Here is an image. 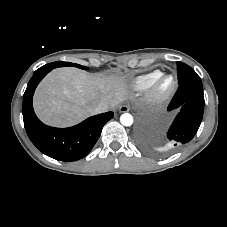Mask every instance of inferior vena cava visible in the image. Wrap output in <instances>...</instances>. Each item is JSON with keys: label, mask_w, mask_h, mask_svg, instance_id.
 <instances>
[{"label": "inferior vena cava", "mask_w": 227, "mask_h": 227, "mask_svg": "<svg viewBox=\"0 0 227 227\" xmlns=\"http://www.w3.org/2000/svg\"><path fill=\"white\" fill-rule=\"evenodd\" d=\"M109 108V104L105 101H101L94 105L93 112L95 114L106 112Z\"/></svg>", "instance_id": "inferior-vena-cava-1"}]
</instances>
